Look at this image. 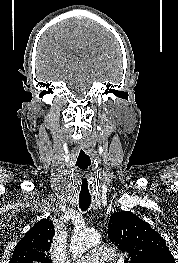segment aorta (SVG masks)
<instances>
[{
    "label": "aorta",
    "mask_w": 178,
    "mask_h": 263,
    "mask_svg": "<svg viewBox=\"0 0 178 263\" xmlns=\"http://www.w3.org/2000/svg\"><path fill=\"white\" fill-rule=\"evenodd\" d=\"M101 241L100 234L95 230H78L76 231L70 243V251L75 256H81L92 246Z\"/></svg>",
    "instance_id": "aorta-1"
}]
</instances>
